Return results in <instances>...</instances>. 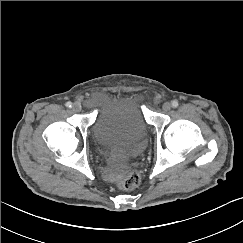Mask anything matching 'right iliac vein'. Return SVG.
<instances>
[{
  "label": "right iliac vein",
  "mask_w": 243,
  "mask_h": 243,
  "mask_svg": "<svg viewBox=\"0 0 243 243\" xmlns=\"http://www.w3.org/2000/svg\"><path fill=\"white\" fill-rule=\"evenodd\" d=\"M81 106L79 105V104H74L73 105V107H72V110L74 111V112H80L81 111Z\"/></svg>",
  "instance_id": "1"
}]
</instances>
